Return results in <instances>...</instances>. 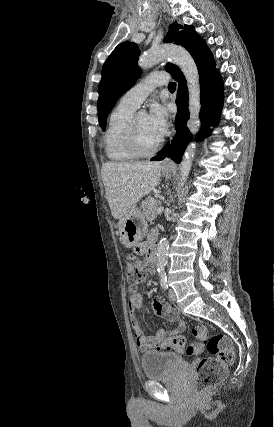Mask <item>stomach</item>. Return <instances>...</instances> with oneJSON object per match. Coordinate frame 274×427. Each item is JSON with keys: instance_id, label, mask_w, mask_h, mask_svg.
I'll use <instances>...</instances> for the list:
<instances>
[{"instance_id": "0dacf381", "label": "stomach", "mask_w": 274, "mask_h": 427, "mask_svg": "<svg viewBox=\"0 0 274 427\" xmlns=\"http://www.w3.org/2000/svg\"><path fill=\"white\" fill-rule=\"evenodd\" d=\"M166 178H172L173 172H165ZM118 235L125 247H132L136 245L147 231V221L145 215L141 214L140 210H130L127 214L123 215L117 223Z\"/></svg>"}]
</instances>
